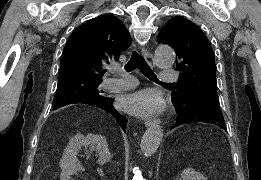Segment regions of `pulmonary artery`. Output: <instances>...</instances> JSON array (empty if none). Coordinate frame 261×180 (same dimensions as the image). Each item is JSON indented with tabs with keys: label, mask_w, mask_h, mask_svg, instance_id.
<instances>
[{
	"label": "pulmonary artery",
	"mask_w": 261,
	"mask_h": 180,
	"mask_svg": "<svg viewBox=\"0 0 261 180\" xmlns=\"http://www.w3.org/2000/svg\"><path fill=\"white\" fill-rule=\"evenodd\" d=\"M113 77L106 78L103 86L112 90L128 88L133 83V78L121 69H111ZM161 77H180V72H161ZM176 78H160V83H176Z\"/></svg>",
	"instance_id": "1"
}]
</instances>
